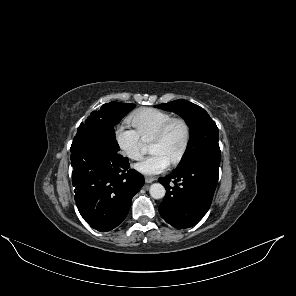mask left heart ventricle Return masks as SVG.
Masks as SVG:
<instances>
[{
    "label": "left heart ventricle",
    "instance_id": "left-heart-ventricle-1",
    "mask_svg": "<svg viewBox=\"0 0 296 296\" xmlns=\"http://www.w3.org/2000/svg\"><path fill=\"white\" fill-rule=\"evenodd\" d=\"M184 141L185 130L181 124L176 123L164 140L151 143L150 151L161 152L172 162L181 152Z\"/></svg>",
    "mask_w": 296,
    "mask_h": 296
}]
</instances>
